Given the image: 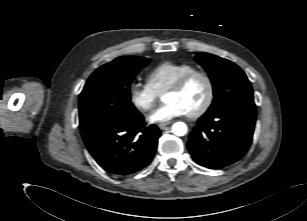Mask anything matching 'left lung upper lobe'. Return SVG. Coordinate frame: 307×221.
Here are the masks:
<instances>
[{
    "mask_svg": "<svg viewBox=\"0 0 307 221\" xmlns=\"http://www.w3.org/2000/svg\"><path fill=\"white\" fill-rule=\"evenodd\" d=\"M195 61L204 67L213 85L214 99L208 110L221 108L236 100H253L251 84L236 64L205 52H198Z\"/></svg>",
    "mask_w": 307,
    "mask_h": 221,
    "instance_id": "5c2ea615",
    "label": "left lung upper lobe"
}]
</instances>
